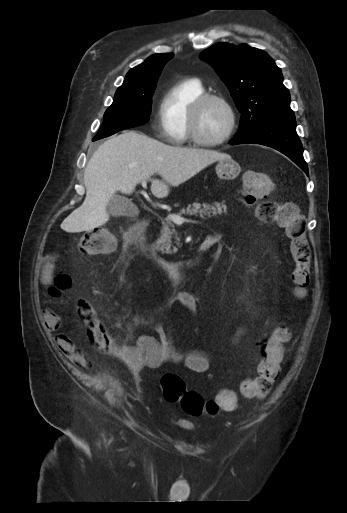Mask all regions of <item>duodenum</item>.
<instances>
[{
  "mask_svg": "<svg viewBox=\"0 0 347 513\" xmlns=\"http://www.w3.org/2000/svg\"><path fill=\"white\" fill-rule=\"evenodd\" d=\"M148 225V219L141 218L128 229L126 234L129 242V252L133 255L144 257L156 263L168 273L169 279L172 282H182L185 280L187 272L199 264L204 254L217 240L216 235L210 234L204 238L197 253L191 259L180 262H168L158 257L148 248Z\"/></svg>",
  "mask_w": 347,
  "mask_h": 513,
  "instance_id": "1",
  "label": "duodenum"
}]
</instances>
